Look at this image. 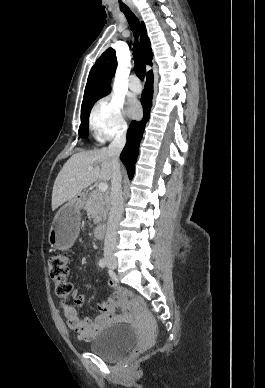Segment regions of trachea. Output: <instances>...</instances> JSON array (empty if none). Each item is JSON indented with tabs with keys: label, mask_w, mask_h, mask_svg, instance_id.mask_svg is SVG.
<instances>
[{
	"label": "trachea",
	"mask_w": 265,
	"mask_h": 388,
	"mask_svg": "<svg viewBox=\"0 0 265 388\" xmlns=\"http://www.w3.org/2000/svg\"><path fill=\"white\" fill-rule=\"evenodd\" d=\"M122 12L126 16L134 36L138 37L140 32V24L138 18L131 12V10H122ZM133 54L135 60V73L139 78L143 79L146 75L145 64L143 61V54L141 52V48L137 44H135L134 46Z\"/></svg>",
	"instance_id": "obj_1"
}]
</instances>
